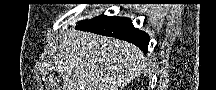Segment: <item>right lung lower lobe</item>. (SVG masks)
Wrapping results in <instances>:
<instances>
[{
	"instance_id": "obj_1",
	"label": "right lung lower lobe",
	"mask_w": 216,
	"mask_h": 90,
	"mask_svg": "<svg viewBox=\"0 0 216 90\" xmlns=\"http://www.w3.org/2000/svg\"><path fill=\"white\" fill-rule=\"evenodd\" d=\"M75 28L123 39L138 46L144 54L148 52L149 36L144 31L135 28L129 18L100 15L90 20L79 22Z\"/></svg>"
}]
</instances>
